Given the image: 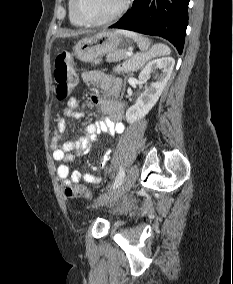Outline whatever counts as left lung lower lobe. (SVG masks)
<instances>
[{"instance_id":"left-lung-lower-lobe-1","label":"left lung lower lobe","mask_w":233,"mask_h":284,"mask_svg":"<svg viewBox=\"0 0 233 284\" xmlns=\"http://www.w3.org/2000/svg\"><path fill=\"white\" fill-rule=\"evenodd\" d=\"M190 0H134L132 8L110 28L160 36L183 51Z\"/></svg>"}]
</instances>
